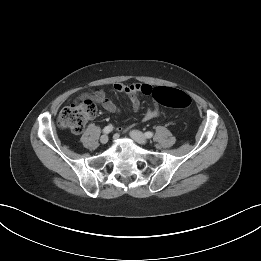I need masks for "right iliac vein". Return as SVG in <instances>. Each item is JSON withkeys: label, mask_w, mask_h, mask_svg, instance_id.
<instances>
[{"label": "right iliac vein", "mask_w": 261, "mask_h": 261, "mask_svg": "<svg viewBox=\"0 0 261 261\" xmlns=\"http://www.w3.org/2000/svg\"><path fill=\"white\" fill-rule=\"evenodd\" d=\"M108 140H109L108 135H102L100 138V142L102 144H106L108 142Z\"/></svg>", "instance_id": "1"}]
</instances>
